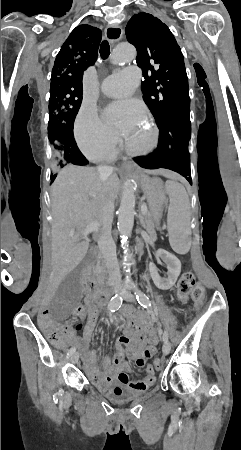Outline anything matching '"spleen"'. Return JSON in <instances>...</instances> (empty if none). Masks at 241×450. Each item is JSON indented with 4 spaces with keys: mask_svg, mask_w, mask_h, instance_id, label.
I'll return each instance as SVG.
<instances>
[{
    "mask_svg": "<svg viewBox=\"0 0 241 450\" xmlns=\"http://www.w3.org/2000/svg\"><path fill=\"white\" fill-rule=\"evenodd\" d=\"M170 178V176H166ZM165 190L170 198L168 203L169 211H184V212H168L167 225L169 226V242L172 250L176 254H188L191 248V233L188 226L190 225L189 218V196L182 184L170 178L165 184Z\"/></svg>",
    "mask_w": 241,
    "mask_h": 450,
    "instance_id": "obj_1",
    "label": "spleen"
}]
</instances>
